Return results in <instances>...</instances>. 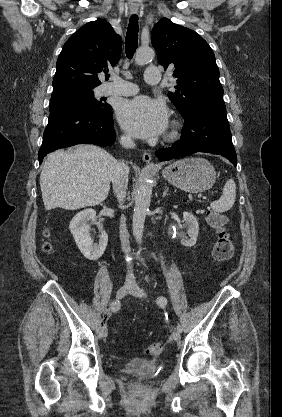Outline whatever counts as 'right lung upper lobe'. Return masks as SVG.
<instances>
[{
    "mask_svg": "<svg viewBox=\"0 0 282 417\" xmlns=\"http://www.w3.org/2000/svg\"><path fill=\"white\" fill-rule=\"evenodd\" d=\"M122 39L104 19L89 22L64 44L56 63L53 93L94 89L98 73L120 59Z\"/></svg>",
    "mask_w": 282,
    "mask_h": 417,
    "instance_id": "cb5924a9",
    "label": "right lung upper lobe"
}]
</instances>
